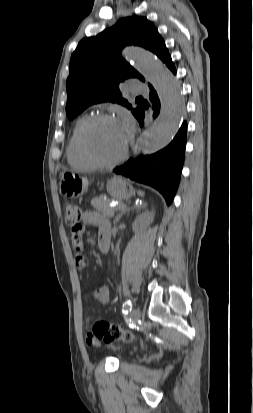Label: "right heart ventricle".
<instances>
[{"label":"right heart ventricle","mask_w":253,"mask_h":413,"mask_svg":"<svg viewBox=\"0 0 253 413\" xmlns=\"http://www.w3.org/2000/svg\"><path fill=\"white\" fill-rule=\"evenodd\" d=\"M89 117L87 115L81 116L75 123L72 133L70 135V138L67 143L66 147V157L68 163L75 167V168H80V169H91L93 168L92 165H90L82 156L79 146H78V136L81 127L83 124L87 121Z\"/></svg>","instance_id":"obj_1"}]
</instances>
